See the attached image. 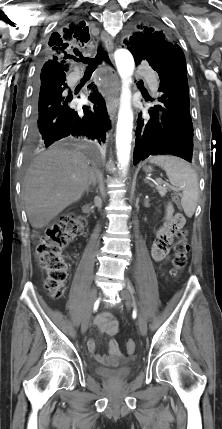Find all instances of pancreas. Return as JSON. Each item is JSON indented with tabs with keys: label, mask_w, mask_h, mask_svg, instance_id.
<instances>
[{
	"label": "pancreas",
	"mask_w": 222,
	"mask_h": 429,
	"mask_svg": "<svg viewBox=\"0 0 222 429\" xmlns=\"http://www.w3.org/2000/svg\"><path fill=\"white\" fill-rule=\"evenodd\" d=\"M156 189L159 192V194L163 197L166 195V193L168 192V188L161 186L160 184H156Z\"/></svg>",
	"instance_id": "obj_1"
}]
</instances>
